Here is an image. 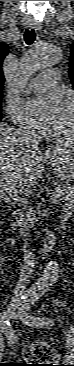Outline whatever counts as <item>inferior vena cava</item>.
I'll use <instances>...</instances> for the list:
<instances>
[{
  "label": "inferior vena cava",
  "instance_id": "inferior-vena-cava-1",
  "mask_svg": "<svg viewBox=\"0 0 74 366\" xmlns=\"http://www.w3.org/2000/svg\"><path fill=\"white\" fill-rule=\"evenodd\" d=\"M20 138L24 144H28L32 148L38 147V136L35 132L30 130H22L20 131ZM16 215V225L20 228L21 234L24 238V245H23V251H24V265L21 270V275L19 282L16 285V288L14 289L15 296L22 295V293L25 290V286L22 284V282H25L28 280L29 275L31 274L32 270L31 267L34 266V260H33V254L31 252V247L29 245V239L28 237V220L24 217L23 213L15 211Z\"/></svg>",
  "mask_w": 74,
  "mask_h": 366
}]
</instances>
